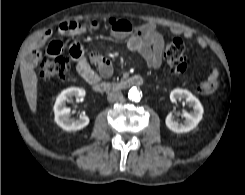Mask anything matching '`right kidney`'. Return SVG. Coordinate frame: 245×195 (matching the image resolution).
Segmentation results:
<instances>
[{"label": "right kidney", "instance_id": "1", "mask_svg": "<svg viewBox=\"0 0 245 195\" xmlns=\"http://www.w3.org/2000/svg\"><path fill=\"white\" fill-rule=\"evenodd\" d=\"M85 96V90L77 87H71L63 90L54 104L55 122L66 131L81 130L89 124V118L82 115L77 119L69 117L70 109L66 107V102L73 97L79 99Z\"/></svg>", "mask_w": 245, "mask_h": 195}]
</instances>
